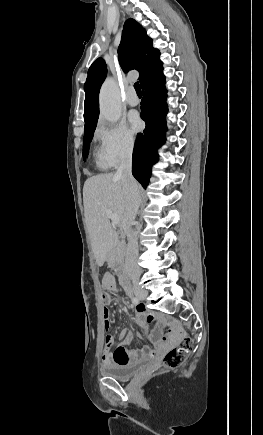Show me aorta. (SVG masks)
Returning <instances> with one entry per match:
<instances>
[{
    "mask_svg": "<svg viewBox=\"0 0 263 435\" xmlns=\"http://www.w3.org/2000/svg\"><path fill=\"white\" fill-rule=\"evenodd\" d=\"M101 115L109 122L115 123L121 117V101L119 89L112 78L106 79L99 95Z\"/></svg>",
    "mask_w": 263,
    "mask_h": 435,
    "instance_id": "aorta-1",
    "label": "aorta"
}]
</instances>
